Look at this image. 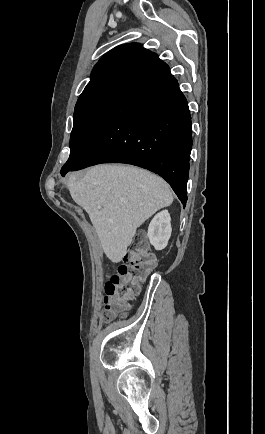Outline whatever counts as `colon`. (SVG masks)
Here are the masks:
<instances>
[{
	"label": "colon",
	"mask_w": 265,
	"mask_h": 434,
	"mask_svg": "<svg viewBox=\"0 0 265 434\" xmlns=\"http://www.w3.org/2000/svg\"><path fill=\"white\" fill-rule=\"evenodd\" d=\"M156 262L155 254L148 252L144 234H137L128 246L124 261L119 264L116 272L108 276L105 290L109 301L104 303L108 318L122 312L125 301L138 294L141 284L153 271ZM105 324H112V321H105Z\"/></svg>",
	"instance_id": "1"
}]
</instances>
